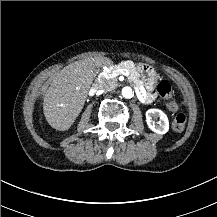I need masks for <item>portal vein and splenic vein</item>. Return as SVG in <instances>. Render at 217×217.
<instances>
[{
	"label": "portal vein and splenic vein",
	"mask_w": 217,
	"mask_h": 217,
	"mask_svg": "<svg viewBox=\"0 0 217 217\" xmlns=\"http://www.w3.org/2000/svg\"><path fill=\"white\" fill-rule=\"evenodd\" d=\"M125 72H126V74H130L128 70L125 71ZM132 84H133V87H134L135 90L138 89V88L136 87V84H135L134 82H133Z\"/></svg>",
	"instance_id": "1"
}]
</instances>
